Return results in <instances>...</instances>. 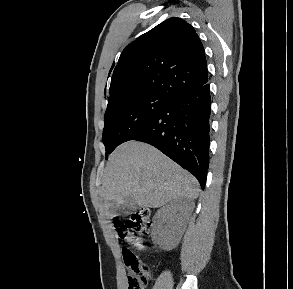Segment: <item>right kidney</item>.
<instances>
[{"label": "right kidney", "instance_id": "1", "mask_svg": "<svg viewBox=\"0 0 293 289\" xmlns=\"http://www.w3.org/2000/svg\"><path fill=\"white\" fill-rule=\"evenodd\" d=\"M186 213V203L179 198L160 208L154 216V229L167 249L179 243L186 229Z\"/></svg>", "mask_w": 293, "mask_h": 289}]
</instances>
